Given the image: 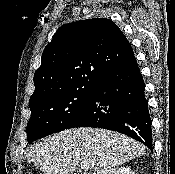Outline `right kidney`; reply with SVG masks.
I'll return each mask as SVG.
<instances>
[{
	"instance_id": "right-kidney-1",
	"label": "right kidney",
	"mask_w": 175,
	"mask_h": 174,
	"mask_svg": "<svg viewBox=\"0 0 175 174\" xmlns=\"http://www.w3.org/2000/svg\"><path fill=\"white\" fill-rule=\"evenodd\" d=\"M114 174H135V172L128 166L120 167Z\"/></svg>"
}]
</instances>
